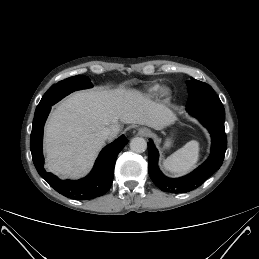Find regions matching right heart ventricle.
Returning <instances> with one entry per match:
<instances>
[{"instance_id": "right-heart-ventricle-1", "label": "right heart ventricle", "mask_w": 259, "mask_h": 259, "mask_svg": "<svg viewBox=\"0 0 259 259\" xmlns=\"http://www.w3.org/2000/svg\"><path fill=\"white\" fill-rule=\"evenodd\" d=\"M158 90H159V85H154L148 89V94L154 95L158 92Z\"/></svg>"}]
</instances>
